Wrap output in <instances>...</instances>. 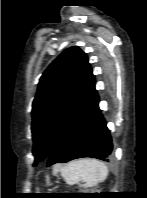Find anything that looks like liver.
<instances>
[{
    "label": "liver",
    "instance_id": "obj_1",
    "mask_svg": "<svg viewBox=\"0 0 147 198\" xmlns=\"http://www.w3.org/2000/svg\"><path fill=\"white\" fill-rule=\"evenodd\" d=\"M58 171V168H56L55 170H54V172L56 173Z\"/></svg>",
    "mask_w": 147,
    "mask_h": 198
}]
</instances>
